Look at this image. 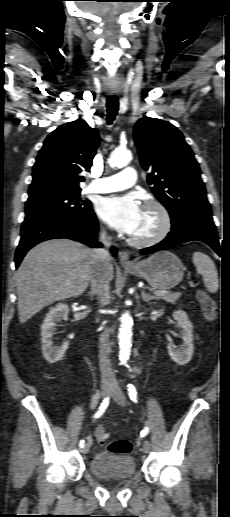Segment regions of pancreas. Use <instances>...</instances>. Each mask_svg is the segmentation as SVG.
<instances>
[{
  "label": "pancreas",
  "mask_w": 230,
  "mask_h": 517,
  "mask_svg": "<svg viewBox=\"0 0 230 517\" xmlns=\"http://www.w3.org/2000/svg\"><path fill=\"white\" fill-rule=\"evenodd\" d=\"M180 296H181L180 293H171V292L166 291V293H164L162 295H157L156 298L163 299L164 301L173 304L180 298Z\"/></svg>",
  "instance_id": "pancreas-1"
}]
</instances>
